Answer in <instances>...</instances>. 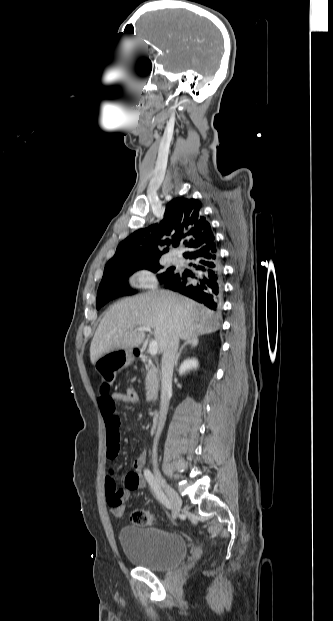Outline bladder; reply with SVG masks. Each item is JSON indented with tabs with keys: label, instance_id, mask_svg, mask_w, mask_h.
<instances>
[{
	"label": "bladder",
	"instance_id": "31cf9c89",
	"mask_svg": "<svg viewBox=\"0 0 333 621\" xmlns=\"http://www.w3.org/2000/svg\"><path fill=\"white\" fill-rule=\"evenodd\" d=\"M119 541L130 563L152 571H164L178 565L188 551L181 535L146 525L123 527Z\"/></svg>",
	"mask_w": 333,
	"mask_h": 621
}]
</instances>
